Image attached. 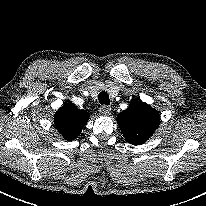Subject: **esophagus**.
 I'll use <instances>...</instances> for the list:
<instances>
[{"mask_svg": "<svg viewBox=\"0 0 206 206\" xmlns=\"http://www.w3.org/2000/svg\"><path fill=\"white\" fill-rule=\"evenodd\" d=\"M99 111H100L101 114L107 116V115L111 114L112 109L109 106L103 105V106L100 107Z\"/></svg>", "mask_w": 206, "mask_h": 206, "instance_id": "obj_1", "label": "esophagus"}]
</instances>
